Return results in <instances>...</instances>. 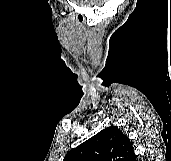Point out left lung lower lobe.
Returning <instances> with one entry per match:
<instances>
[{
    "instance_id": "obj_1",
    "label": "left lung lower lobe",
    "mask_w": 171,
    "mask_h": 161,
    "mask_svg": "<svg viewBox=\"0 0 171 161\" xmlns=\"http://www.w3.org/2000/svg\"><path fill=\"white\" fill-rule=\"evenodd\" d=\"M131 161H137V156L135 155V156L131 159Z\"/></svg>"
}]
</instances>
